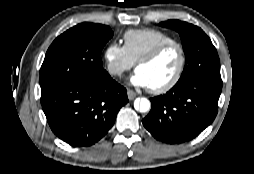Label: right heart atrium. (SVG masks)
Segmentation results:
<instances>
[{
  "label": "right heart atrium",
  "instance_id": "right-heart-atrium-1",
  "mask_svg": "<svg viewBox=\"0 0 254 174\" xmlns=\"http://www.w3.org/2000/svg\"><path fill=\"white\" fill-rule=\"evenodd\" d=\"M103 59L106 70L111 76L120 77L134 66L133 60L129 57L126 49L121 44L113 41L104 49Z\"/></svg>",
  "mask_w": 254,
  "mask_h": 174
}]
</instances>
